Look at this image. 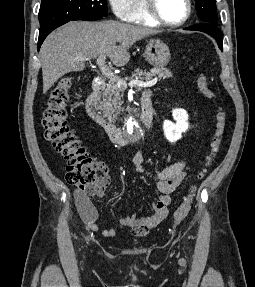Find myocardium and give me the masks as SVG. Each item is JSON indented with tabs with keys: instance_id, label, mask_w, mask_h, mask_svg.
<instances>
[{
	"instance_id": "1",
	"label": "myocardium",
	"mask_w": 255,
	"mask_h": 287,
	"mask_svg": "<svg viewBox=\"0 0 255 287\" xmlns=\"http://www.w3.org/2000/svg\"><path fill=\"white\" fill-rule=\"evenodd\" d=\"M157 23V22H156ZM158 33H167V32H158ZM157 39H166V38H157Z\"/></svg>"
}]
</instances>
